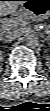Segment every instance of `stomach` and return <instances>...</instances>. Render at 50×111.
<instances>
[{
    "mask_svg": "<svg viewBox=\"0 0 50 111\" xmlns=\"http://www.w3.org/2000/svg\"><path fill=\"white\" fill-rule=\"evenodd\" d=\"M24 9L34 18L44 20L50 17V0H25Z\"/></svg>",
    "mask_w": 50,
    "mask_h": 111,
    "instance_id": "stomach-1",
    "label": "stomach"
}]
</instances>
